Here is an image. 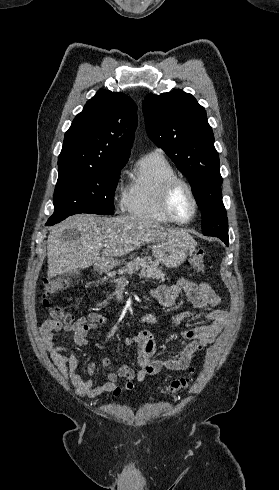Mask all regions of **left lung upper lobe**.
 Here are the masks:
<instances>
[{
    "mask_svg": "<svg viewBox=\"0 0 279 490\" xmlns=\"http://www.w3.org/2000/svg\"><path fill=\"white\" fill-rule=\"evenodd\" d=\"M149 138L188 178L201 209L202 233L228 245V219L220 185L219 154L204 107L180 89L161 95L148 94L143 101Z\"/></svg>",
    "mask_w": 279,
    "mask_h": 490,
    "instance_id": "left-lung-upper-lobe-1",
    "label": "left lung upper lobe"
}]
</instances>
